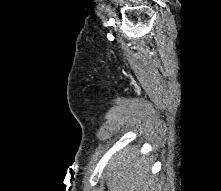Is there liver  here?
<instances>
[{
  "mask_svg": "<svg viewBox=\"0 0 221 191\" xmlns=\"http://www.w3.org/2000/svg\"><path fill=\"white\" fill-rule=\"evenodd\" d=\"M148 158L137 148H124L107 164L105 178L109 191H153L155 178Z\"/></svg>",
  "mask_w": 221,
  "mask_h": 191,
  "instance_id": "6515ba94",
  "label": "liver"
}]
</instances>
